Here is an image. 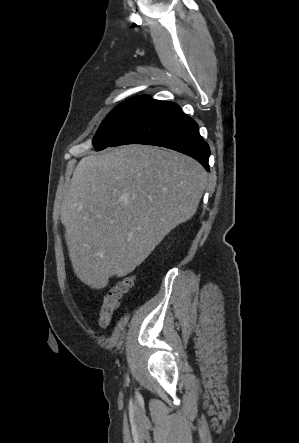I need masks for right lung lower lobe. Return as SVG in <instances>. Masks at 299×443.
I'll return each mask as SVG.
<instances>
[{
    "label": "right lung lower lobe",
    "instance_id": "1",
    "mask_svg": "<svg viewBox=\"0 0 299 443\" xmlns=\"http://www.w3.org/2000/svg\"><path fill=\"white\" fill-rule=\"evenodd\" d=\"M147 144L189 155L208 171L210 149L197 123L173 102L154 100L111 145Z\"/></svg>",
    "mask_w": 299,
    "mask_h": 443
}]
</instances>
